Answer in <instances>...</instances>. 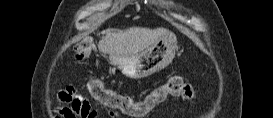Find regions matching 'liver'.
I'll use <instances>...</instances> for the list:
<instances>
[{"mask_svg":"<svg viewBox=\"0 0 273 118\" xmlns=\"http://www.w3.org/2000/svg\"><path fill=\"white\" fill-rule=\"evenodd\" d=\"M169 31L165 28L130 27L124 32L107 31L98 44L102 53L112 55H134L148 48Z\"/></svg>","mask_w":273,"mask_h":118,"instance_id":"1","label":"liver"}]
</instances>
